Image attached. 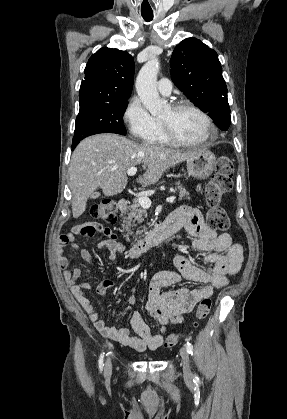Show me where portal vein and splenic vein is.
Wrapping results in <instances>:
<instances>
[{
	"label": "portal vein and splenic vein",
	"instance_id": "1",
	"mask_svg": "<svg viewBox=\"0 0 287 419\" xmlns=\"http://www.w3.org/2000/svg\"><path fill=\"white\" fill-rule=\"evenodd\" d=\"M137 172V168L136 167H131L127 170V174L128 176H134ZM175 196H170L166 199L167 202H173L175 200ZM138 202L141 205L142 208L144 209H148L151 206V200L149 199L148 196H139L138 197Z\"/></svg>",
	"mask_w": 287,
	"mask_h": 419
}]
</instances>
